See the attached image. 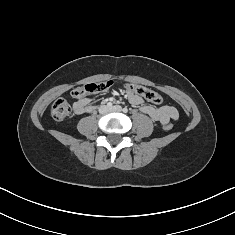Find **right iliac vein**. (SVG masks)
Returning <instances> with one entry per match:
<instances>
[{
    "mask_svg": "<svg viewBox=\"0 0 235 235\" xmlns=\"http://www.w3.org/2000/svg\"><path fill=\"white\" fill-rule=\"evenodd\" d=\"M107 111H108V107H107V106H102V107L100 108V112H101L102 114L107 113Z\"/></svg>",
    "mask_w": 235,
    "mask_h": 235,
    "instance_id": "63e3f726",
    "label": "right iliac vein"
}]
</instances>
